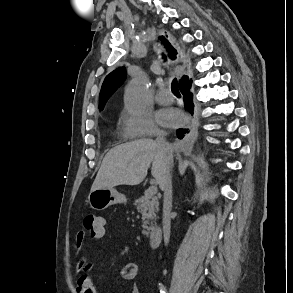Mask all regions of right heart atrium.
Instances as JSON below:
<instances>
[{
  "instance_id": "obj_1",
  "label": "right heart atrium",
  "mask_w": 293,
  "mask_h": 293,
  "mask_svg": "<svg viewBox=\"0 0 293 293\" xmlns=\"http://www.w3.org/2000/svg\"><path fill=\"white\" fill-rule=\"evenodd\" d=\"M120 122L125 134L130 137H152L163 134L162 129L155 123L149 113L134 114L123 110L120 114Z\"/></svg>"
}]
</instances>
